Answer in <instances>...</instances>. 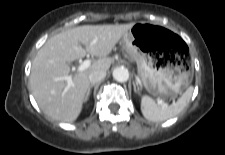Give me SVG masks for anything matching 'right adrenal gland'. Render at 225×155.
I'll use <instances>...</instances> for the list:
<instances>
[{
  "label": "right adrenal gland",
  "mask_w": 225,
  "mask_h": 155,
  "mask_svg": "<svg viewBox=\"0 0 225 155\" xmlns=\"http://www.w3.org/2000/svg\"><path fill=\"white\" fill-rule=\"evenodd\" d=\"M94 86V84H91L89 89H88V92H87V95H86V100L88 99L89 95H90V91H91V88Z\"/></svg>",
  "instance_id": "obj_1"
}]
</instances>
